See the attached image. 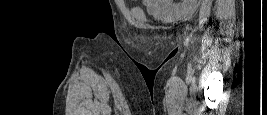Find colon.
<instances>
[{
    "mask_svg": "<svg viewBox=\"0 0 267 115\" xmlns=\"http://www.w3.org/2000/svg\"><path fill=\"white\" fill-rule=\"evenodd\" d=\"M185 1H193V0H185Z\"/></svg>",
    "mask_w": 267,
    "mask_h": 115,
    "instance_id": "5ec220e1",
    "label": "colon"
}]
</instances>
